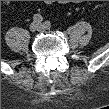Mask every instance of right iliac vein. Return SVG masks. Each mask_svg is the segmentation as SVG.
I'll list each match as a JSON object with an SVG mask.
<instances>
[{"instance_id":"right-iliac-vein-1","label":"right iliac vein","mask_w":109,"mask_h":109,"mask_svg":"<svg viewBox=\"0 0 109 109\" xmlns=\"http://www.w3.org/2000/svg\"><path fill=\"white\" fill-rule=\"evenodd\" d=\"M30 29L32 30V31H35V30H37L38 29V25H37V23H32L31 25H30Z\"/></svg>"}]
</instances>
